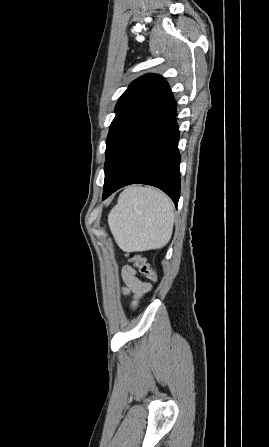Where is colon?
<instances>
[{"label": "colon", "mask_w": 269, "mask_h": 447, "mask_svg": "<svg viewBox=\"0 0 269 447\" xmlns=\"http://www.w3.org/2000/svg\"><path fill=\"white\" fill-rule=\"evenodd\" d=\"M127 259L131 265L136 267L139 272L149 282L156 283L158 281V275L155 269L148 263L145 256L141 253H134L127 255Z\"/></svg>", "instance_id": "5ec220e1"}]
</instances>
